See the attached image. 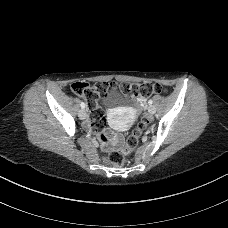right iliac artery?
Returning a JSON list of instances; mask_svg holds the SVG:
<instances>
[{"instance_id": "obj_1", "label": "right iliac artery", "mask_w": 228, "mask_h": 228, "mask_svg": "<svg viewBox=\"0 0 228 228\" xmlns=\"http://www.w3.org/2000/svg\"><path fill=\"white\" fill-rule=\"evenodd\" d=\"M80 106H81L82 109H84L85 108V103L81 102Z\"/></svg>"}]
</instances>
